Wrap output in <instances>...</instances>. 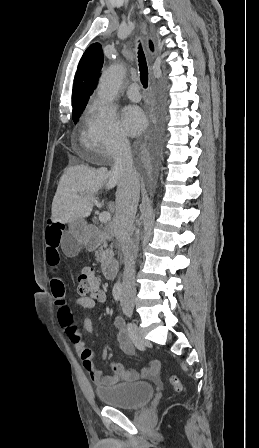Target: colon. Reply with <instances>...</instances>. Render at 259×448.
Segmentation results:
<instances>
[{"instance_id":"obj_1","label":"colon","mask_w":259,"mask_h":448,"mask_svg":"<svg viewBox=\"0 0 259 448\" xmlns=\"http://www.w3.org/2000/svg\"><path fill=\"white\" fill-rule=\"evenodd\" d=\"M102 291L100 279L91 270H83L78 276V293L82 296H95ZM171 384L176 390L180 389L178 377H171Z\"/></svg>"}]
</instances>
